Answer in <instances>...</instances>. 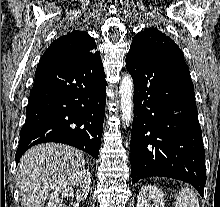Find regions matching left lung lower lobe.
Segmentation results:
<instances>
[{"mask_svg":"<svg viewBox=\"0 0 220 207\" xmlns=\"http://www.w3.org/2000/svg\"><path fill=\"white\" fill-rule=\"evenodd\" d=\"M134 80L132 184L151 176L188 182L203 197L205 151L194 86L184 59H159L130 49Z\"/></svg>","mask_w":220,"mask_h":207,"instance_id":"left-lung-lower-lobe-1","label":"left lung lower lobe"}]
</instances>
